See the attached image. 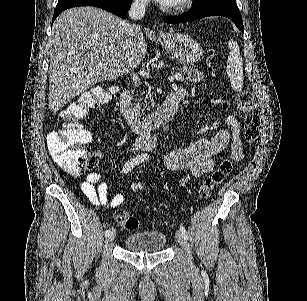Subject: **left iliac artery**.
Returning <instances> with one entry per match:
<instances>
[{
	"mask_svg": "<svg viewBox=\"0 0 307 301\" xmlns=\"http://www.w3.org/2000/svg\"><path fill=\"white\" fill-rule=\"evenodd\" d=\"M180 232L182 233V235L184 236L185 239H188V233L185 230V228L183 227V225H180Z\"/></svg>",
	"mask_w": 307,
	"mask_h": 301,
	"instance_id": "44dca946",
	"label": "left iliac artery"
}]
</instances>
